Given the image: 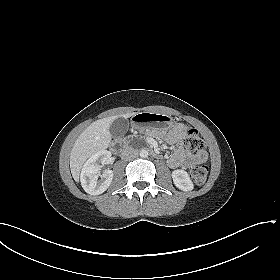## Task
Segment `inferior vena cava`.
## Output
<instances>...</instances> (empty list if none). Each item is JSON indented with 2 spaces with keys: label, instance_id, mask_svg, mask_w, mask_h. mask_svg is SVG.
<instances>
[{
  "label": "inferior vena cava",
  "instance_id": "obj_1",
  "mask_svg": "<svg viewBox=\"0 0 280 280\" xmlns=\"http://www.w3.org/2000/svg\"><path fill=\"white\" fill-rule=\"evenodd\" d=\"M137 156H138V151L131 147L124 149L123 152L121 153V158L126 161L132 160Z\"/></svg>",
  "mask_w": 280,
  "mask_h": 280
}]
</instances>
